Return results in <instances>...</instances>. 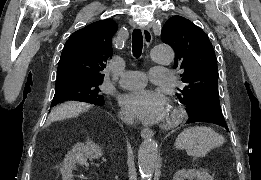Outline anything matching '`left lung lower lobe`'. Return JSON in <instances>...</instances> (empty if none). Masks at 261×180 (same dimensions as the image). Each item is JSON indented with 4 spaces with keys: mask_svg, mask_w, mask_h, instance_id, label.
<instances>
[{
    "mask_svg": "<svg viewBox=\"0 0 261 180\" xmlns=\"http://www.w3.org/2000/svg\"><path fill=\"white\" fill-rule=\"evenodd\" d=\"M188 123L195 122H208L220 125L228 130V126L224 120V117L221 115H216L214 113H203L201 115H189Z\"/></svg>",
    "mask_w": 261,
    "mask_h": 180,
    "instance_id": "obj_1",
    "label": "left lung lower lobe"
}]
</instances>
